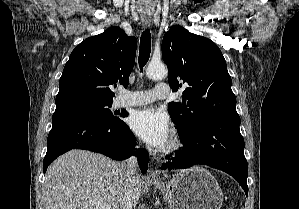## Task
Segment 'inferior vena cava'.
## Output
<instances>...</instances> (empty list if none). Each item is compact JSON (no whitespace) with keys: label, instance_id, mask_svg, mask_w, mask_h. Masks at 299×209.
Instances as JSON below:
<instances>
[{"label":"inferior vena cava","instance_id":"inferior-vena-cava-1","mask_svg":"<svg viewBox=\"0 0 299 209\" xmlns=\"http://www.w3.org/2000/svg\"><path fill=\"white\" fill-rule=\"evenodd\" d=\"M137 167L138 164L135 157H131L120 164V169L123 172L127 187H130L133 180L136 178ZM121 209H132L131 201L129 199H125Z\"/></svg>","mask_w":299,"mask_h":209}]
</instances>
